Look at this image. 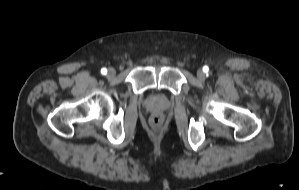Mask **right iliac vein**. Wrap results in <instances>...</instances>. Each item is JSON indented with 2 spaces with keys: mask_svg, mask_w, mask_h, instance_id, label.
<instances>
[{
  "mask_svg": "<svg viewBox=\"0 0 299 190\" xmlns=\"http://www.w3.org/2000/svg\"><path fill=\"white\" fill-rule=\"evenodd\" d=\"M115 74H116L115 69L114 68H109V70H108V76L109 77H114Z\"/></svg>",
  "mask_w": 299,
  "mask_h": 190,
  "instance_id": "obj_1",
  "label": "right iliac vein"
}]
</instances>
